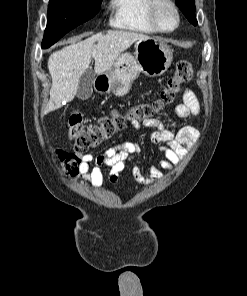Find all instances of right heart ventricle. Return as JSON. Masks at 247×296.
<instances>
[{
  "mask_svg": "<svg viewBox=\"0 0 247 296\" xmlns=\"http://www.w3.org/2000/svg\"><path fill=\"white\" fill-rule=\"evenodd\" d=\"M151 0H111V25L118 29L142 34L156 33L148 8Z\"/></svg>",
  "mask_w": 247,
  "mask_h": 296,
  "instance_id": "1",
  "label": "right heart ventricle"
}]
</instances>
